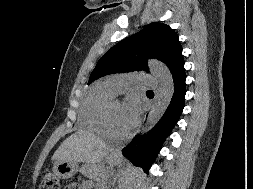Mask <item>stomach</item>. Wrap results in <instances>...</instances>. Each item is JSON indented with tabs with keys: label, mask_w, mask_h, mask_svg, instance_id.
<instances>
[{
	"label": "stomach",
	"mask_w": 253,
	"mask_h": 189,
	"mask_svg": "<svg viewBox=\"0 0 253 189\" xmlns=\"http://www.w3.org/2000/svg\"><path fill=\"white\" fill-rule=\"evenodd\" d=\"M109 164H116L118 158L112 154L107 156ZM78 170V164L74 161H55L53 164V172L61 179L71 178Z\"/></svg>",
	"instance_id": "0dacf381"
}]
</instances>
